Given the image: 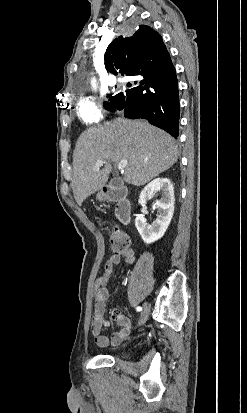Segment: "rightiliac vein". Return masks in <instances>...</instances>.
Returning a JSON list of instances; mask_svg holds the SVG:
<instances>
[{
	"label": "right iliac vein",
	"mask_w": 247,
	"mask_h": 413,
	"mask_svg": "<svg viewBox=\"0 0 247 413\" xmlns=\"http://www.w3.org/2000/svg\"><path fill=\"white\" fill-rule=\"evenodd\" d=\"M149 312H150L149 305L147 303H144L143 304V309H142V312H141V317H140V319L138 321V324H137L138 327L144 325V323L146 322V320L149 316Z\"/></svg>",
	"instance_id": "63e3f726"
}]
</instances>
